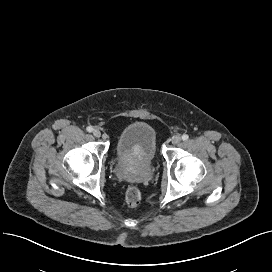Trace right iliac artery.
<instances>
[{
    "mask_svg": "<svg viewBox=\"0 0 272 272\" xmlns=\"http://www.w3.org/2000/svg\"><path fill=\"white\" fill-rule=\"evenodd\" d=\"M87 131H88V132H92V131H93V127H92V126H88V127H87Z\"/></svg>",
    "mask_w": 272,
    "mask_h": 272,
    "instance_id": "1",
    "label": "right iliac artery"
}]
</instances>
